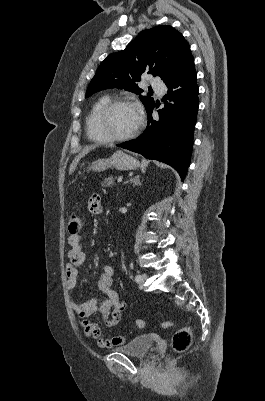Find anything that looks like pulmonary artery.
I'll list each match as a JSON object with an SVG mask.
<instances>
[{
    "label": "pulmonary artery",
    "instance_id": "pulmonary-artery-1",
    "mask_svg": "<svg viewBox=\"0 0 265 401\" xmlns=\"http://www.w3.org/2000/svg\"><path fill=\"white\" fill-rule=\"evenodd\" d=\"M151 88L153 90H162L164 88V83L162 81H153L151 83Z\"/></svg>",
    "mask_w": 265,
    "mask_h": 401
}]
</instances>
